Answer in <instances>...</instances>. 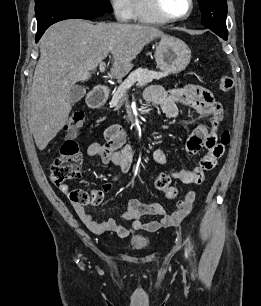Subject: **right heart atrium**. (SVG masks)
<instances>
[{"instance_id": "d8ad5b80", "label": "right heart atrium", "mask_w": 261, "mask_h": 306, "mask_svg": "<svg viewBox=\"0 0 261 306\" xmlns=\"http://www.w3.org/2000/svg\"><path fill=\"white\" fill-rule=\"evenodd\" d=\"M110 7L118 21L125 22L131 19L132 0H109Z\"/></svg>"}]
</instances>
